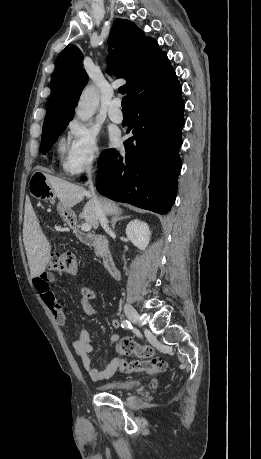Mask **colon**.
I'll list each match as a JSON object with an SVG mask.
<instances>
[{
  "label": "colon",
  "mask_w": 261,
  "mask_h": 459,
  "mask_svg": "<svg viewBox=\"0 0 261 459\" xmlns=\"http://www.w3.org/2000/svg\"><path fill=\"white\" fill-rule=\"evenodd\" d=\"M50 269L59 273L77 274L79 264L72 253L53 255L50 260ZM93 299V295H87ZM117 352L120 355H135L138 359L133 361L121 360L119 369L124 373L146 372L155 375L166 369L165 362L154 358V349L149 345H141L130 337L122 338L117 344Z\"/></svg>",
  "instance_id": "colon-1"
}]
</instances>
